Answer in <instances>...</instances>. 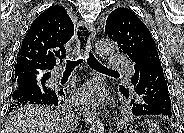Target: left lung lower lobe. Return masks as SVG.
I'll return each instance as SVG.
<instances>
[{"label": "left lung lower lobe", "mask_w": 184, "mask_h": 133, "mask_svg": "<svg viewBox=\"0 0 184 133\" xmlns=\"http://www.w3.org/2000/svg\"><path fill=\"white\" fill-rule=\"evenodd\" d=\"M132 90H122L121 93L126 98L132 97L131 112L133 115H160L168 117L173 115L167 83L157 52H152V55L142 62L140 80Z\"/></svg>", "instance_id": "0a47b994"}]
</instances>
